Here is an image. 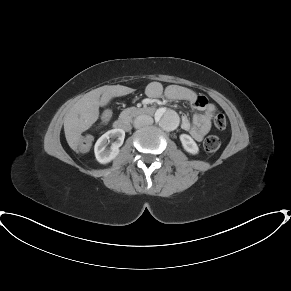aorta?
<instances>
[{"label":"aorta","mask_w":291,"mask_h":291,"mask_svg":"<svg viewBox=\"0 0 291 291\" xmlns=\"http://www.w3.org/2000/svg\"><path fill=\"white\" fill-rule=\"evenodd\" d=\"M157 118L161 128L167 131L176 129L179 124L177 115L171 111H165L164 113L157 115Z\"/></svg>","instance_id":"obj_1"}]
</instances>
